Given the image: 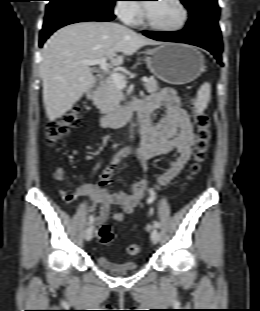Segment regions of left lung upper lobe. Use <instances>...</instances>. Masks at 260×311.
<instances>
[{
    "label": "left lung upper lobe",
    "instance_id": "left-lung-upper-lobe-1",
    "mask_svg": "<svg viewBox=\"0 0 260 311\" xmlns=\"http://www.w3.org/2000/svg\"><path fill=\"white\" fill-rule=\"evenodd\" d=\"M181 2L188 8L190 15L186 28L221 33L218 26L220 8L217 0H181Z\"/></svg>",
    "mask_w": 260,
    "mask_h": 311
}]
</instances>
